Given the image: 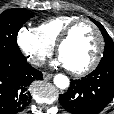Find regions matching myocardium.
I'll return each instance as SVG.
<instances>
[{"label": "myocardium", "mask_w": 114, "mask_h": 114, "mask_svg": "<svg viewBox=\"0 0 114 114\" xmlns=\"http://www.w3.org/2000/svg\"><path fill=\"white\" fill-rule=\"evenodd\" d=\"M86 22L89 23L97 37H98V47L96 50V54L94 56V58L92 59V61L85 67L80 68V69H72V68H68L69 71L76 75V76H82V75H86L90 72H92L93 70L96 69V67L98 66V64L101 61L102 55H103V51L105 48V40L103 37V34L100 30V28L98 27V25L89 18H78L76 20H74L73 22H71L61 33V35L59 36L55 46H56V52L59 54L60 53V49L63 46V44L70 38V36L72 35L74 29L81 23Z\"/></svg>", "instance_id": "1"}]
</instances>
